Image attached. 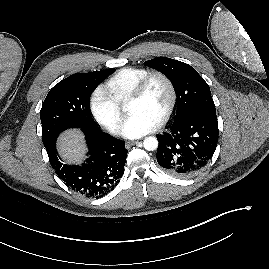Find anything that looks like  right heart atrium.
Here are the masks:
<instances>
[{"label":"right heart atrium","instance_id":"obj_1","mask_svg":"<svg viewBox=\"0 0 269 269\" xmlns=\"http://www.w3.org/2000/svg\"><path fill=\"white\" fill-rule=\"evenodd\" d=\"M89 108L94 119L110 133L121 132L123 113L105 88L98 86L91 93Z\"/></svg>","mask_w":269,"mask_h":269}]
</instances>
